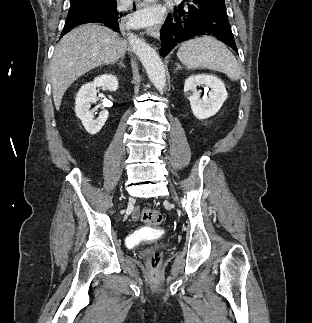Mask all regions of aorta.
Here are the masks:
<instances>
[{"label":"aorta","instance_id":"obj_1","mask_svg":"<svg viewBox=\"0 0 312 323\" xmlns=\"http://www.w3.org/2000/svg\"><path fill=\"white\" fill-rule=\"evenodd\" d=\"M129 44L136 56H138L142 66H144L150 82L153 86L163 92V88L166 86V76L162 60H160L157 52L148 46L144 40L134 36V34H128Z\"/></svg>","mask_w":312,"mask_h":323}]
</instances>
